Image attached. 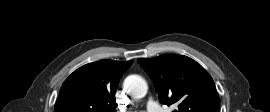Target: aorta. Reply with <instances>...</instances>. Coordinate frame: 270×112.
<instances>
[{"mask_svg": "<svg viewBox=\"0 0 270 112\" xmlns=\"http://www.w3.org/2000/svg\"><path fill=\"white\" fill-rule=\"evenodd\" d=\"M124 90L133 98H143L148 90L146 81L139 75L128 76L123 83Z\"/></svg>", "mask_w": 270, "mask_h": 112, "instance_id": "obj_1", "label": "aorta"}]
</instances>
